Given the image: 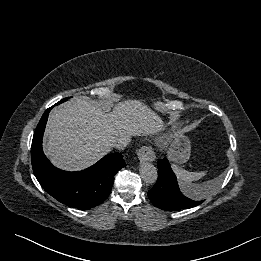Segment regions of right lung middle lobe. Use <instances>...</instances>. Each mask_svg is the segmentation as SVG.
I'll return each instance as SVG.
<instances>
[{
	"label": "right lung middle lobe",
	"instance_id": "1",
	"mask_svg": "<svg viewBox=\"0 0 261 261\" xmlns=\"http://www.w3.org/2000/svg\"><path fill=\"white\" fill-rule=\"evenodd\" d=\"M68 98H65V99H63V100H61L59 103H62V102H64V101H66Z\"/></svg>",
	"mask_w": 261,
	"mask_h": 261
}]
</instances>
